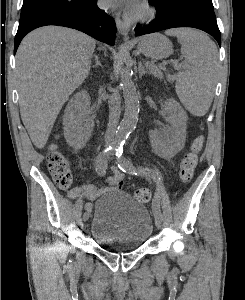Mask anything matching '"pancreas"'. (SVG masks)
Returning a JSON list of instances; mask_svg holds the SVG:
<instances>
[{
	"label": "pancreas",
	"mask_w": 245,
	"mask_h": 300,
	"mask_svg": "<svg viewBox=\"0 0 245 300\" xmlns=\"http://www.w3.org/2000/svg\"><path fill=\"white\" fill-rule=\"evenodd\" d=\"M149 67H150L151 72H152L157 78H159V79H162V78H163V73H162V71H161L160 69H158L153 63H152V65L149 66ZM167 79H168L169 81H172V80H173V78L170 77V76H168Z\"/></svg>",
	"instance_id": "obj_1"
}]
</instances>
